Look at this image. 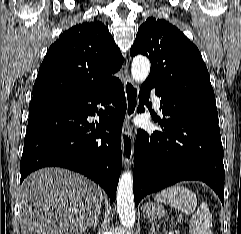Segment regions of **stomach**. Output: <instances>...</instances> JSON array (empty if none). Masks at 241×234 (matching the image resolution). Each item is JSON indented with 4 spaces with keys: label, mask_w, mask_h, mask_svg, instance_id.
<instances>
[{
    "label": "stomach",
    "mask_w": 241,
    "mask_h": 234,
    "mask_svg": "<svg viewBox=\"0 0 241 234\" xmlns=\"http://www.w3.org/2000/svg\"><path fill=\"white\" fill-rule=\"evenodd\" d=\"M142 210L143 213L150 218L162 217L165 212L162 205L155 203H147L143 206Z\"/></svg>",
    "instance_id": "stomach-1"
}]
</instances>
